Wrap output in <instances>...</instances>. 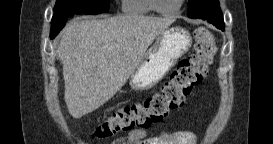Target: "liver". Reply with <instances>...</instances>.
I'll list each match as a JSON object with an SVG mask.
<instances>
[{"instance_id": "1", "label": "liver", "mask_w": 273, "mask_h": 144, "mask_svg": "<svg viewBox=\"0 0 273 144\" xmlns=\"http://www.w3.org/2000/svg\"><path fill=\"white\" fill-rule=\"evenodd\" d=\"M174 21L141 15L70 21L61 32L57 49L70 115L79 119L111 99L155 38Z\"/></svg>"}]
</instances>
